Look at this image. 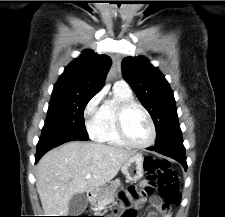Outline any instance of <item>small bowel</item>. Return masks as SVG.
Returning <instances> with one entry per match:
<instances>
[{
	"instance_id": "c3829d8e",
	"label": "small bowel",
	"mask_w": 225,
	"mask_h": 217,
	"mask_svg": "<svg viewBox=\"0 0 225 217\" xmlns=\"http://www.w3.org/2000/svg\"><path fill=\"white\" fill-rule=\"evenodd\" d=\"M147 183L145 181L142 182V185H146ZM143 202L142 199H137L136 205L139 206ZM160 207L163 211V217H171L170 209L163 208V205H161L160 200L156 197L152 199V207L149 210V216L148 217H156V213L153 211V209H156Z\"/></svg>"
}]
</instances>
